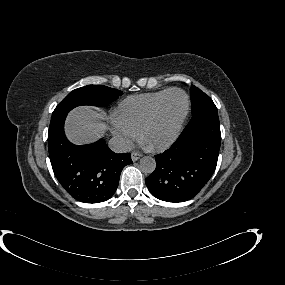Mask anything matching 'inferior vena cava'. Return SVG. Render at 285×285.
<instances>
[{
    "label": "inferior vena cava",
    "instance_id": "obj_1",
    "mask_svg": "<svg viewBox=\"0 0 285 285\" xmlns=\"http://www.w3.org/2000/svg\"><path fill=\"white\" fill-rule=\"evenodd\" d=\"M108 146L115 153H126L131 151L133 148L132 142L121 136L112 137Z\"/></svg>",
    "mask_w": 285,
    "mask_h": 285
}]
</instances>
